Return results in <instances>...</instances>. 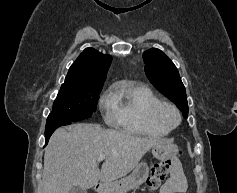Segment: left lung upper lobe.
Wrapping results in <instances>:
<instances>
[{
	"mask_svg": "<svg viewBox=\"0 0 237 193\" xmlns=\"http://www.w3.org/2000/svg\"><path fill=\"white\" fill-rule=\"evenodd\" d=\"M145 73L150 82L176 104L187 118L188 103L185 87L173 62L161 50L151 48L143 53Z\"/></svg>",
	"mask_w": 237,
	"mask_h": 193,
	"instance_id": "left-lung-upper-lobe-1",
	"label": "left lung upper lobe"
}]
</instances>
